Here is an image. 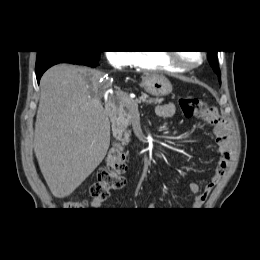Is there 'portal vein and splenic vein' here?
<instances>
[{
    "instance_id": "portal-vein-and-splenic-vein-1",
    "label": "portal vein and splenic vein",
    "mask_w": 260,
    "mask_h": 260,
    "mask_svg": "<svg viewBox=\"0 0 260 260\" xmlns=\"http://www.w3.org/2000/svg\"><path fill=\"white\" fill-rule=\"evenodd\" d=\"M116 96L119 100L129 104L132 106L133 110H137L138 109V104L137 103H132L129 99V96L123 92V91H116Z\"/></svg>"
}]
</instances>
